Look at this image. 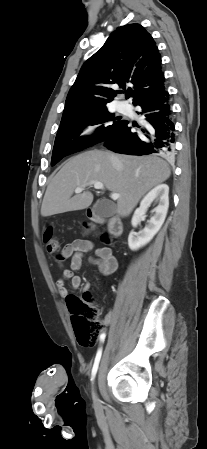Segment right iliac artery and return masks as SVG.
<instances>
[{"label": "right iliac artery", "mask_w": 207, "mask_h": 449, "mask_svg": "<svg viewBox=\"0 0 207 449\" xmlns=\"http://www.w3.org/2000/svg\"><path fill=\"white\" fill-rule=\"evenodd\" d=\"M106 334L103 333L100 335V342L103 343L105 340ZM101 355H102V347H100L97 351L96 357H95V361H94V365L92 368V372H91V379L93 380L96 376L97 370H98V366H99V362L101 359Z\"/></svg>", "instance_id": "1"}]
</instances>
